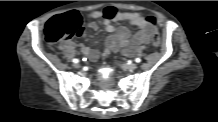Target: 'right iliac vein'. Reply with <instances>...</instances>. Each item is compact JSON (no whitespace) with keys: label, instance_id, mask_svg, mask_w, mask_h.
Instances as JSON below:
<instances>
[{"label":"right iliac vein","instance_id":"1","mask_svg":"<svg viewBox=\"0 0 218 122\" xmlns=\"http://www.w3.org/2000/svg\"><path fill=\"white\" fill-rule=\"evenodd\" d=\"M74 67L77 68V69H79L81 66H80V64L75 63V64H74Z\"/></svg>","mask_w":218,"mask_h":122}]
</instances>
